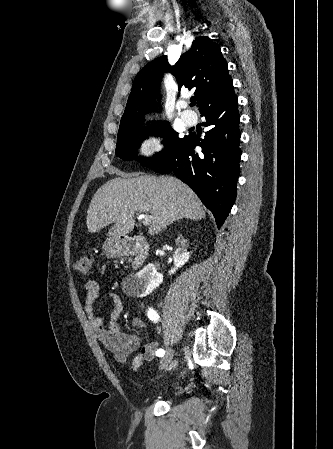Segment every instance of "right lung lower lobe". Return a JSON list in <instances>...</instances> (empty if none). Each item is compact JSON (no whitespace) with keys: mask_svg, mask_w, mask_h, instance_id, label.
Wrapping results in <instances>:
<instances>
[{"mask_svg":"<svg viewBox=\"0 0 333 449\" xmlns=\"http://www.w3.org/2000/svg\"><path fill=\"white\" fill-rule=\"evenodd\" d=\"M237 105L233 90L207 103L200 110L208 127L204 139L189 134L168 159L152 168L158 173L172 172L189 185L213 213L218 228L236 198L241 157ZM196 146L202 153H195Z\"/></svg>","mask_w":333,"mask_h":449,"instance_id":"1","label":"right lung lower lobe"}]
</instances>
